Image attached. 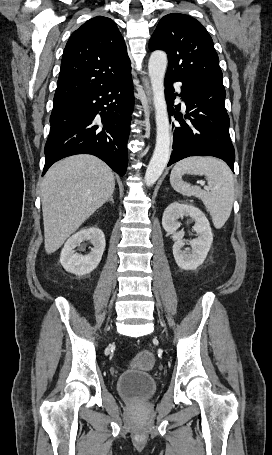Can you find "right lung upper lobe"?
Returning a JSON list of instances; mask_svg holds the SVG:
<instances>
[{
	"instance_id": "right-lung-upper-lobe-1",
	"label": "right lung upper lobe",
	"mask_w": 272,
	"mask_h": 455,
	"mask_svg": "<svg viewBox=\"0 0 272 455\" xmlns=\"http://www.w3.org/2000/svg\"><path fill=\"white\" fill-rule=\"evenodd\" d=\"M130 59L115 22L97 16L73 32L64 49L54 102L130 75Z\"/></svg>"
}]
</instances>
